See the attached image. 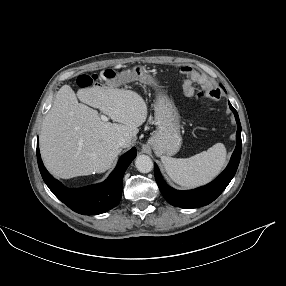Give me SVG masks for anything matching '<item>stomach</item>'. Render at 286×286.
I'll return each instance as SVG.
<instances>
[{"instance_id": "obj_1", "label": "stomach", "mask_w": 286, "mask_h": 286, "mask_svg": "<svg viewBox=\"0 0 286 286\" xmlns=\"http://www.w3.org/2000/svg\"><path fill=\"white\" fill-rule=\"evenodd\" d=\"M122 78L140 81L157 90L154 104L157 130L149 138L148 144L157 156L176 154L181 147L182 138L180 135V117L174 102L160 90L155 77L143 66L137 65L132 70L124 72Z\"/></svg>"}]
</instances>
